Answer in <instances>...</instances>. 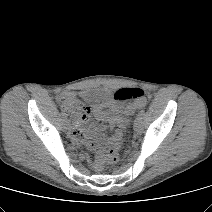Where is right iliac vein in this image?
<instances>
[{
	"mask_svg": "<svg viewBox=\"0 0 212 212\" xmlns=\"http://www.w3.org/2000/svg\"><path fill=\"white\" fill-rule=\"evenodd\" d=\"M64 125H65V127H66L67 129H69V128L71 127V123H70V121L67 120V119L64 120Z\"/></svg>",
	"mask_w": 212,
	"mask_h": 212,
	"instance_id": "obj_1",
	"label": "right iliac vein"
}]
</instances>
